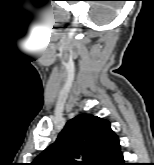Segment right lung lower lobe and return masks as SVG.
Instances as JSON below:
<instances>
[{"label":"right lung lower lobe","instance_id":"98d812e1","mask_svg":"<svg viewBox=\"0 0 154 165\" xmlns=\"http://www.w3.org/2000/svg\"><path fill=\"white\" fill-rule=\"evenodd\" d=\"M120 152L119 139L115 135L107 143L95 165H126Z\"/></svg>","mask_w":154,"mask_h":165}]
</instances>
